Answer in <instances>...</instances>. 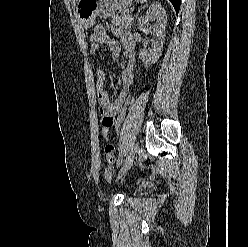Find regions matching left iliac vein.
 Instances as JSON below:
<instances>
[{"label": "left iliac vein", "mask_w": 248, "mask_h": 247, "mask_svg": "<svg viewBox=\"0 0 248 247\" xmlns=\"http://www.w3.org/2000/svg\"><path fill=\"white\" fill-rule=\"evenodd\" d=\"M139 149H140L139 144L135 143L134 146L129 151V153L127 154L126 158L124 159L122 168L117 176V179L122 178L127 173L130 165L133 162L135 154L139 151Z\"/></svg>", "instance_id": "4c4485c4"}]
</instances>
